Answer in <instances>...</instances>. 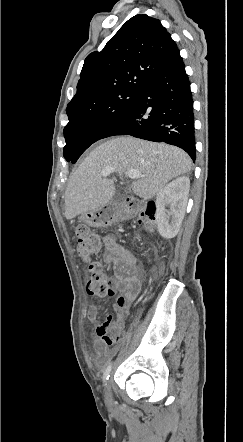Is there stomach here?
Masks as SVG:
<instances>
[{"label":"stomach","instance_id":"stomach-1","mask_svg":"<svg viewBox=\"0 0 243 442\" xmlns=\"http://www.w3.org/2000/svg\"><path fill=\"white\" fill-rule=\"evenodd\" d=\"M81 219L91 227H107L119 219V212L113 204L105 205L82 214Z\"/></svg>","mask_w":243,"mask_h":442}]
</instances>
